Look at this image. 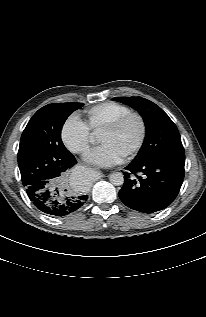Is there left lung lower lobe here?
I'll list each match as a JSON object with an SVG mask.
<instances>
[{"label":"left lung lower lobe","instance_id":"left-lung-lower-lobe-1","mask_svg":"<svg viewBox=\"0 0 206 317\" xmlns=\"http://www.w3.org/2000/svg\"><path fill=\"white\" fill-rule=\"evenodd\" d=\"M125 169L120 200L144 213L168 207L178 195L184 178V165L170 161L131 162Z\"/></svg>","mask_w":206,"mask_h":317}]
</instances>
